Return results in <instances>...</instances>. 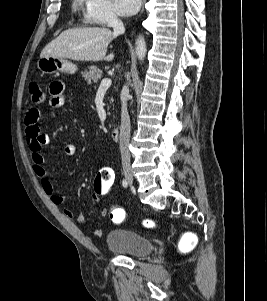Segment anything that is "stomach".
<instances>
[{
  "label": "stomach",
  "instance_id": "stomach-1",
  "mask_svg": "<svg viewBox=\"0 0 267 301\" xmlns=\"http://www.w3.org/2000/svg\"><path fill=\"white\" fill-rule=\"evenodd\" d=\"M37 67L40 69V71L47 74L59 72L74 74L78 70L74 63L57 57H41L37 62Z\"/></svg>",
  "mask_w": 267,
  "mask_h": 301
}]
</instances>
